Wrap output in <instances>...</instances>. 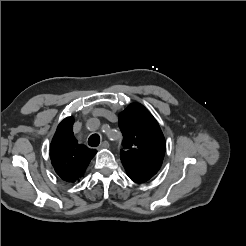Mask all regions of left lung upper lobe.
Here are the masks:
<instances>
[{
  "mask_svg": "<svg viewBox=\"0 0 246 246\" xmlns=\"http://www.w3.org/2000/svg\"><path fill=\"white\" fill-rule=\"evenodd\" d=\"M123 134L121 162L131 179L148 181L160 169L165 154V138L152 114L132 103L119 114Z\"/></svg>",
  "mask_w": 246,
  "mask_h": 246,
  "instance_id": "obj_1",
  "label": "left lung upper lobe"
}]
</instances>
